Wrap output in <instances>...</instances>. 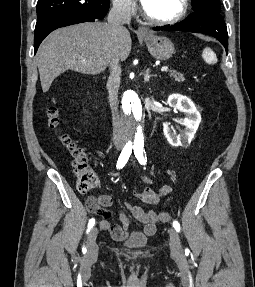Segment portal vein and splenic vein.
Instances as JSON below:
<instances>
[{
  "mask_svg": "<svg viewBox=\"0 0 255 287\" xmlns=\"http://www.w3.org/2000/svg\"><path fill=\"white\" fill-rule=\"evenodd\" d=\"M168 70L167 66H164V68H161V72H166Z\"/></svg>",
  "mask_w": 255,
  "mask_h": 287,
  "instance_id": "18ae733b",
  "label": "portal vein and splenic vein"
}]
</instances>
